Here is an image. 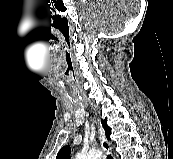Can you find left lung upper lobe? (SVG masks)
Here are the masks:
<instances>
[{
    "label": "left lung upper lobe",
    "mask_w": 173,
    "mask_h": 159,
    "mask_svg": "<svg viewBox=\"0 0 173 159\" xmlns=\"http://www.w3.org/2000/svg\"><path fill=\"white\" fill-rule=\"evenodd\" d=\"M101 122L105 130L107 139H110L111 129L106 124L107 120L105 119V120H102ZM70 151H71L70 146H64L57 154L56 159H69Z\"/></svg>",
    "instance_id": "left-lung-upper-lobe-1"
}]
</instances>
